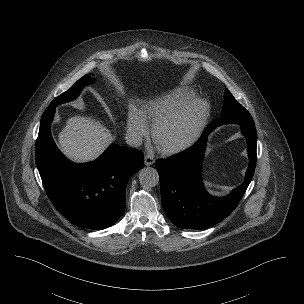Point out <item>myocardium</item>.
Here are the masks:
<instances>
[{
  "instance_id": "obj_1",
  "label": "myocardium",
  "mask_w": 304,
  "mask_h": 304,
  "mask_svg": "<svg viewBox=\"0 0 304 304\" xmlns=\"http://www.w3.org/2000/svg\"><path fill=\"white\" fill-rule=\"evenodd\" d=\"M210 114L209 103L198 97H194L154 123L153 138L156 144L166 153H176L191 146L200 136ZM187 116L193 117V124L187 134L176 141L167 142L162 140L164 129L179 119Z\"/></svg>"
}]
</instances>
